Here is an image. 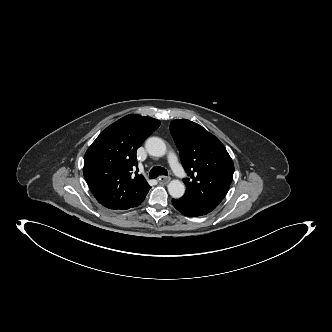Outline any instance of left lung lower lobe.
Listing matches in <instances>:
<instances>
[{
    "instance_id": "obj_1",
    "label": "left lung lower lobe",
    "mask_w": 332,
    "mask_h": 332,
    "mask_svg": "<svg viewBox=\"0 0 332 332\" xmlns=\"http://www.w3.org/2000/svg\"><path fill=\"white\" fill-rule=\"evenodd\" d=\"M173 206L185 216L197 217L210 213L212 210L187 197L172 199Z\"/></svg>"
}]
</instances>
